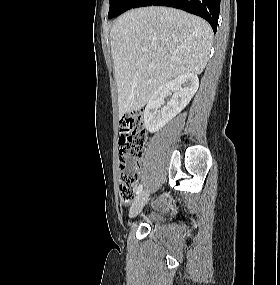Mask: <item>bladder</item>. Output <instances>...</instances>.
<instances>
[{"label":"bladder","mask_w":280,"mask_h":285,"mask_svg":"<svg viewBox=\"0 0 280 285\" xmlns=\"http://www.w3.org/2000/svg\"><path fill=\"white\" fill-rule=\"evenodd\" d=\"M168 217L167 214L159 213L156 211L150 212L149 214V223L153 225H160L162 224L166 218Z\"/></svg>","instance_id":"obj_1"}]
</instances>
